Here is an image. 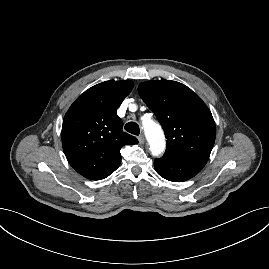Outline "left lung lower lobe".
<instances>
[{"mask_svg": "<svg viewBox=\"0 0 269 269\" xmlns=\"http://www.w3.org/2000/svg\"><path fill=\"white\" fill-rule=\"evenodd\" d=\"M206 162L198 158L164 155L154 160V168L161 177L173 182H182L198 174Z\"/></svg>", "mask_w": 269, "mask_h": 269, "instance_id": "left-lung-lower-lobe-1", "label": "left lung lower lobe"}]
</instances>
